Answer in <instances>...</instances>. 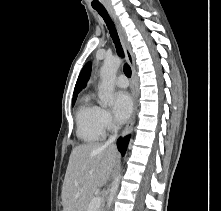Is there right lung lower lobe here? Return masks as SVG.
Masks as SVG:
<instances>
[{
    "mask_svg": "<svg viewBox=\"0 0 221 211\" xmlns=\"http://www.w3.org/2000/svg\"><path fill=\"white\" fill-rule=\"evenodd\" d=\"M130 136H126L123 139L119 138L118 142H117V146H118V150L124 154L128 145V141H129Z\"/></svg>",
    "mask_w": 221,
    "mask_h": 211,
    "instance_id": "obj_1",
    "label": "right lung lower lobe"
}]
</instances>
